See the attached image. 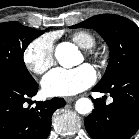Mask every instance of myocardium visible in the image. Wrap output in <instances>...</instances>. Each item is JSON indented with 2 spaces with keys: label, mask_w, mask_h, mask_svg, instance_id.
I'll return each instance as SVG.
<instances>
[{
  "label": "myocardium",
  "mask_w": 139,
  "mask_h": 139,
  "mask_svg": "<svg viewBox=\"0 0 139 139\" xmlns=\"http://www.w3.org/2000/svg\"><path fill=\"white\" fill-rule=\"evenodd\" d=\"M86 56L89 57V58H91V59H93V60H95V61H98L99 60V57H98L97 53L94 52L93 50H88L86 52Z\"/></svg>",
  "instance_id": "obj_1"
}]
</instances>
